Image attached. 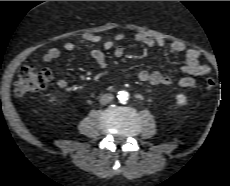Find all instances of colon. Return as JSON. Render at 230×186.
Instances as JSON below:
<instances>
[{
	"label": "colon",
	"mask_w": 230,
	"mask_h": 186,
	"mask_svg": "<svg viewBox=\"0 0 230 186\" xmlns=\"http://www.w3.org/2000/svg\"><path fill=\"white\" fill-rule=\"evenodd\" d=\"M52 80V72L47 69H37L34 66L24 67L17 80L14 83V94L18 97H24L29 94L38 92L47 87ZM216 82L213 78L207 77L205 79V88L213 90Z\"/></svg>",
	"instance_id": "5ec220e1"
}]
</instances>
